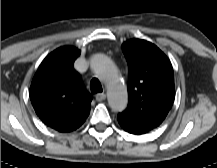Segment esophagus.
Segmentation results:
<instances>
[{"mask_svg": "<svg viewBox=\"0 0 217 168\" xmlns=\"http://www.w3.org/2000/svg\"><path fill=\"white\" fill-rule=\"evenodd\" d=\"M95 99L98 102L104 101L106 99V94L105 93H98L95 95Z\"/></svg>", "mask_w": 217, "mask_h": 168, "instance_id": "obj_1", "label": "esophagus"}]
</instances>
